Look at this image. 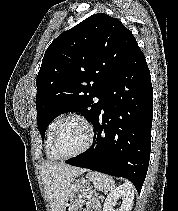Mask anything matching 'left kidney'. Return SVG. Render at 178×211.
I'll return each mask as SVG.
<instances>
[{
  "label": "left kidney",
  "mask_w": 178,
  "mask_h": 211,
  "mask_svg": "<svg viewBox=\"0 0 178 211\" xmlns=\"http://www.w3.org/2000/svg\"><path fill=\"white\" fill-rule=\"evenodd\" d=\"M118 199H121V206L118 210H114V206ZM134 200V187L129 182L119 186L111 192L105 202L103 211H131Z\"/></svg>",
  "instance_id": "5707ae66"
}]
</instances>
